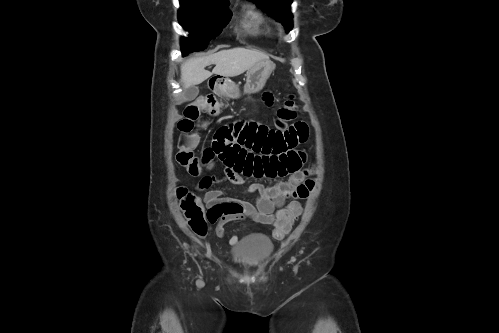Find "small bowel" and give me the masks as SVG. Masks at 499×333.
I'll use <instances>...</instances> for the list:
<instances>
[{
	"mask_svg": "<svg viewBox=\"0 0 499 333\" xmlns=\"http://www.w3.org/2000/svg\"><path fill=\"white\" fill-rule=\"evenodd\" d=\"M270 104L272 96L266 93ZM309 128L303 121L283 129H273L254 121H236L220 127L210 147L201 156L202 166L218 158L224 165L222 176H205L198 189L207 190L204 202L215 234L228 239L230 245L239 243L236 235L225 230L226 223L236 220L273 225L275 209H280L287 198H306L313 188L312 171L304 168L307 159L305 150L298 146L308 139ZM247 177L256 179L287 177V180L272 185L259 182L251 184L247 192L255 194V202L230 198L222 190L212 187L230 182L242 185Z\"/></svg>",
	"mask_w": 499,
	"mask_h": 333,
	"instance_id": "obj_1",
	"label": "small bowel"
}]
</instances>
